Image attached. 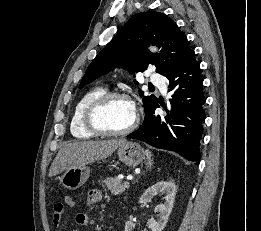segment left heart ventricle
<instances>
[{"label":"left heart ventricle","mask_w":261,"mask_h":231,"mask_svg":"<svg viewBox=\"0 0 261 231\" xmlns=\"http://www.w3.org/2000/svg\"><path fill=\"white\" fill-rule=\"evenodd\" d=\"M135 108L126 99L117 98L105 105L97 115L99 125L112 131L126 129L133 121Z\"/></svg>","instance_id":"1"}]
</instances>
